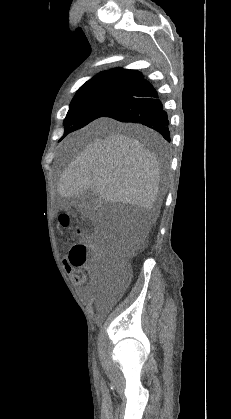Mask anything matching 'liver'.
<instances>
[{
	"label": "liver",
	"mask_w": 231,
	"mask_h": 419,
	"mask_svg": "<svg viewBox=\"0 0 231 419\" xmlns=\"http://www.w3.org/2000/svg\"><path fill=\"white\" fill-rule=\"evenodd\" d=\"M112 133L93 139L63 171L57 191L65 198L80 197L94 190L107 202H122L143 208L146 224L138 232L142 243L151 222L159 214L160 167L157 157L138 140L120 131L132 126L101 120Z\"/></svg>",
	"instance_id": "1"
}]
</instances>
